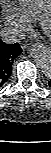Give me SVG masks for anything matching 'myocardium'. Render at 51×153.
<instances>
[{"label":"myocardium","instance_id":"f54148a6","mask_svg":"<svg viewBox=\"0 0 51 153\" xmlns=\"http://www.w3.org/2000/svg\"><path fill=\"white\" fill-rule=\"evenodd\" d=\"M41 27L45 33L51 34V13L44 14L40 21Z\"/></svg>","mask_w":51,"mask_h":153}]
</instances>
